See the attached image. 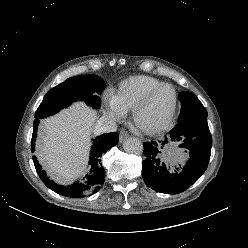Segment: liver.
I'll list each match as a JSON object with an SVG mask.
<instances>
[{
  "label": "liver",
  "instance_id": "6515ba94",
  "mask_svg": "<svg viewBox=\"0 0 248 248\" xmlns=\"http://www.w3.org/2000/svg\"><path fill=\"white\" fill-rule=\"evenodd\" d=\"M96 112L82 102L44 119L37 155L59 182H73L86 171Z\"/></svg>",
  "mask_w": 248,
  "mask_h": 248
}]
</instances>
